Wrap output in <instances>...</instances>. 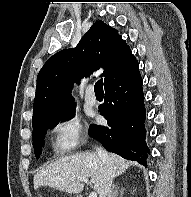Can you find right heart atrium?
Returning a JSON list of instances; mask_svg holds the SVG:
<instances>
[{"instance_id":"1","label":"right heart atrium","mask_w":191,"mask_h":197,"mask_svg":"<svg viewBox=\"0 0 191 197\" xmlns=\"http://www.w3.org/2000/svg\"><path fill=\"white\" fill-rule=\"evenodd\" d=\"M81 121L77 115L66 116L53 127V149L57 154H65L84 142Z\"/></svg>"}]
</instances>
